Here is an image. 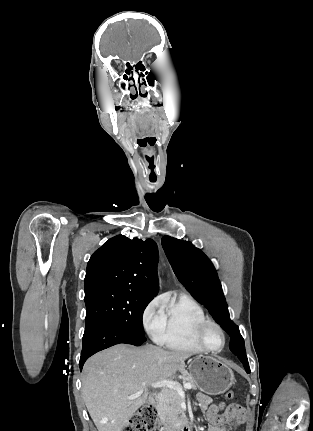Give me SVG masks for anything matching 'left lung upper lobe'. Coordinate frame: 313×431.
Listing matches in <instances>:
<instances>
[{
	"instance_id": "obj_1",
	"label": "left lung upper lobe",
	"mask_w": 313,
	"mask_h": 431,
	"mask_svg": "<svg viewBox=\"0 0 313 431\" xmlns=\"http://www.w3.org/2000/svg\"><path fill=\"white\" fill-rule=\"evenodd\" d=\"M162 246L179 281L230 335V350L239 357L245 370L250 372L244 339L238 326L230 319L221 283L212 262L190 242L164 236Z\"/></svg>"
}]
</instances>
